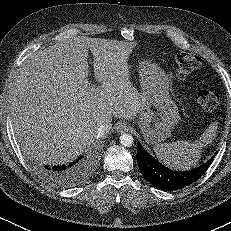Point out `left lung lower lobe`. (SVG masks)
Masks as SVG:
<instances>
[{"label": "left lung lower lobe", "instance_id": "0a47b994", "mask_svg": "<svg viewBox=\"0 0 231 231\" xmlns=\"http://www.w3.org/2000/svg\"><path fill=\"white\" fill-rule=\"evenodd\" d=\"M137 148V162L141 173L155 187L166 191L180 189L195 182L206 172L214 160L211 158L198 168L177 172L159 163L141 144L137 143Z\"/></svg>", "mask_w": 231, "mask_h": 231}]
</instances>
